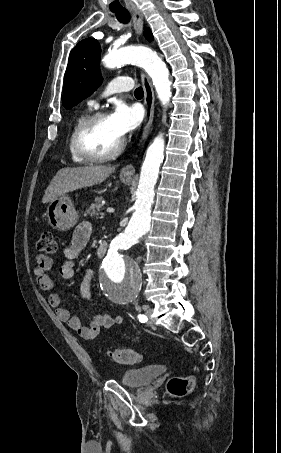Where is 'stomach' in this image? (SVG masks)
<instances>
[{
	"instance_id": "0dacf381",
	"label": "stomach",
	"mask_w": 281,
	"mask_h": 453,
	"mask_svg": "<svg viewBox=\"0 0 281 453\" xmlns=\"http://www.w3.org/2000/svg\"><path fill=\"white\" fill-rule=\"evenodd\" d=\"M121 180L125 184H129L132 176L131 174H125V176H121ZM45 214L51 227L57 229V231H69L79 218L78 210H76L70 196H67V194H61V196L50 200Z\"/></svg>"
}]
</instances>
